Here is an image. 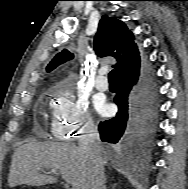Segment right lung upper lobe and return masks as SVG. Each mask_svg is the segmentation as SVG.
<instances>
[{
    "label": "right lung upper lobe",
    "mask_w": 188,
    "mask_h": 189,
    "mask_svg": "<svg viewBox=\"0 0 188 189\" xmlns=\"http://www.w3.org/2000/svg\"><path fill=\"white\" fill-rule=\"evenodd\" d=\"M94 49L100 57L113 56L117 59L114 68L118 78L133 74L140 69L141 60L134 36L122 21L114 17L104 15L101 18L94 38ZM73 57L72 53L64 49L48 64L47 72Z\"/></svg>",
    "instance_id": "obj_1"
}]
</instances>
